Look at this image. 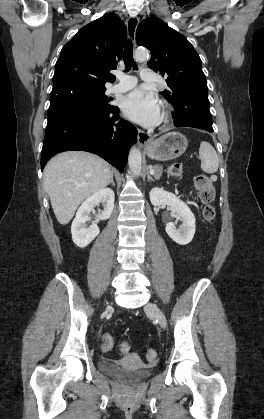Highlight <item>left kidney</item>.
<instances>
[{"label": "left kidney", "mask_w": 264, "mask_h": 419, "mask_svg": "<svg viewBox=\"0 0 264 419\" xmlns=\"http://www.w3.org/2000/svg\"><path fill=\"white\" fill-rule=\"evenodd\" d=\"M150 201L154 206L168 205L182 219L183 224L179 229L173 222L166 224V233L176 243L186 245L191 242L195 234V216L190 208L173 193L163 188H153L150 193Z\"/></svg>", "instance_id": "5707ae66"}]
</instances>
